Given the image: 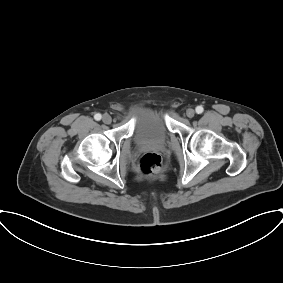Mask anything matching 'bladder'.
<instances>
[{
	"instance_id": "31cf9c89",
	"label": "bladder",
	"mask_w": 283,
	"mask_h": 283,
	"mask_svg": "<svg viewBox=\"0 0 283 283\" xmlns=\"http://www.w3.org/2000/svg\"><path fill=\"white\" fill-rule=\"evenodd\" d=\"M134 138L139 144H163L170 130L167 110L163 107L141 106L132 112Z\"/></svg>"
}]
</instances>
